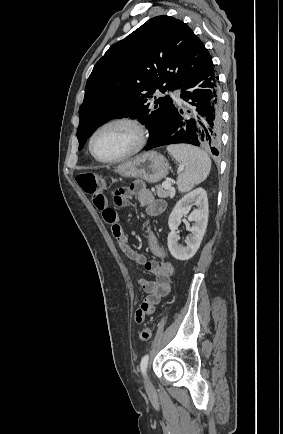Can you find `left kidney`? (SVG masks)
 <instances>
[{"instance_id": "1", "label": "left kidney", "mask_w": 283, "mask_h": 434, "mask_svg": "<svg viewBox=\"0 0 283 434\" xmlns=\"http://www.w3.org/2000/svg\"><path fill=\"white\" fill-rule=\"evenodd\" d=\"M192 205H196L197 209L189 214ZM208 213V198L203 188L189 192L177 202L169 216L170 233L167 238L169 251L175 259L183 261L195 255L207 228ZM183 216H188V220L194 222L192 227H188L190 235L185 246L178 244V227Z\"/></svg>"}]
</instances>
